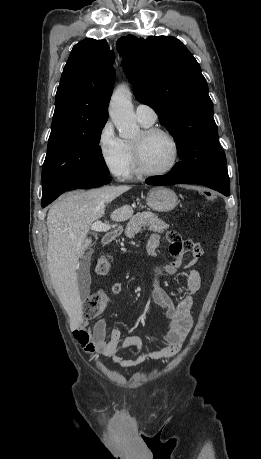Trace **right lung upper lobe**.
<instances>
[{"label": "right lung upper lobe", "mask_w": 261, "mask_h": 459, "mask_svg": "<svg viewBox=\"0 0 261 459\" xmlns=\"http://www.w3.org/2000/svg\"><path fill=\"white\" fill-rule=\"evenodd\" d=\"M113 61L106 40L85 39L74 46L57 89L50 136L84 131L107 121L115 82Z\"/></svg>", "instance_id": "obj_1"}]
</instances>
